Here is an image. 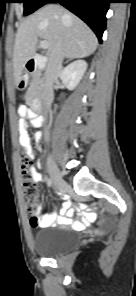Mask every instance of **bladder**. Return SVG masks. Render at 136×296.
Masks as SVG:
<instances>
[{
    "mask_svg": "<svg viewBox=\"0 0 136 296\" xmlns=\"http://www.w3.org/2000/svg\"><path fill=\"white\" fill-rule=\"evenodd\" d=\"M79 243V237L70 228L50 227L37 231L32 238L35 252L44 257H57Z\"/></svg>",
    "mask_w": 136,
    "mask_h": 296,
    "instance_id": "1",
    "label": "bladder"
}]
</instances>
